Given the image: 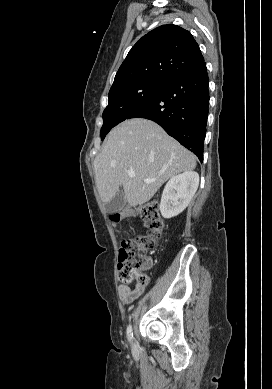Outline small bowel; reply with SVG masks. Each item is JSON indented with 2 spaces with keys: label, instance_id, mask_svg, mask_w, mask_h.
<instances>
[{
  "label": "small bowel",
  "instance_id": "1",
  "mask_svg": "<svg viewBox=\"0 0 272 389\" xmlns=\"http://www.w3.org/2000/svg\"><path fill=\"white\" fill-rule=\"evenodd\" d=\"M151 266H152V260L147 259L144 264V270L151 268ZM144 290H145V286L143 285H136L134 287L120 285L119 295L125 304H130L135 299H137L144 292Z\"/></svg>",
  "mask_w": 272,
  "mask_h": 389
}]
</instances>
